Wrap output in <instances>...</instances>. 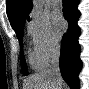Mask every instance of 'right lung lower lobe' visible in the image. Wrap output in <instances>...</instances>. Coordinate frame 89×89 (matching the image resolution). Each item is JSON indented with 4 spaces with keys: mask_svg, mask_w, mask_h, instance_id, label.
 <instances>
[{
    "mask_svg": "<svg viewBox=\"0 0 89 89\" xmlns=\"http://www.w3.org/2000/svg\"><path fill=\"white\" fill-rule=\"evenodd\" d=\"M79 0H63V13L69 23L67 33L64 34L61 43L60 71L63 79L71 89H79L78 74L82 68L80 60V45L78 38L80 28L77 20L80 13L77 9Z\"/></svg>",
    "mask_w": 89,
    "mask_h": 89,
    "instance_id": "obj_1",
    "label": "right lung lower lobe"
}]
</instances>
